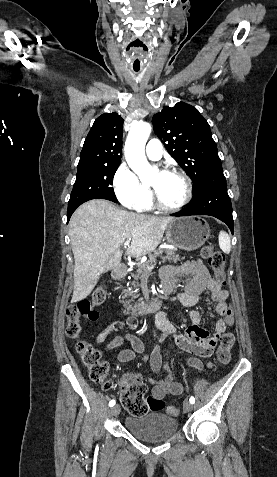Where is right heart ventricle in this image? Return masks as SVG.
<instances>
[{"instance_id":"obj_1","label":"right heart ventricle","mask_w":277,"mask_h":477,"mask_svg":"<svg viewBox=\"0 0 277 477\" xmlns=\"http://www.w3.org/2000/svg\"><path fill=\"white\" fill-rule=\"evenodd\" d=\"M152 207V204H151V201L148 203V205L146 206V208H144L143 210H149L151 209Z\"/></svg>"}]
</instances>
